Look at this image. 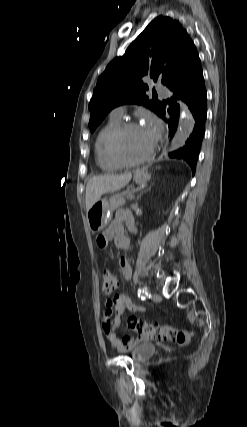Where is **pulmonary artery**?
Instances as JSON below:
<instances>
[{"label": "pulmonary artery", "mask_w": 247, "mask_h": 427, "mask_svg": "<svg viewBox=\"0 0 247 427\" xmlns=\"http://www.w3.org/2000/svg\"><path fill=\"white\" fill-rule=\"evenodd\" d=\"M157 91L163 96H167V94H168L167 88H165L163 86H158ZM124 112H125V107L119 106V107H116L115 109L112 110L111 116L116 117V118H121L124 115Z\"/></svg>", "instance_id": "1"}]
</instances>
